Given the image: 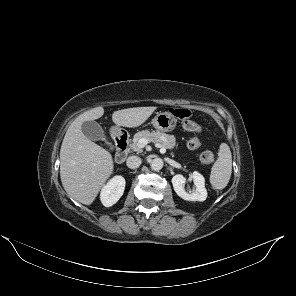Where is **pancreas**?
<instances>
[{
	"label": "pancreas",
	"mask_w": 296,
	"mask_h": 296,
	"mask_svg": "<svg viewBox=\"0 0 296 296\" xmlns=\"http://www.w3.org/2000/svg\"><path fill=\"white\" fill-rule=\"evenodd\" d=\"M142 138L147 139L149 142L159 143L161 147L165 149H173L176 146V138L173 135H168L155 131H141L134 135L132 142L130 143V148L141 153L142 149L138 147V141Z\"/></svg>",
	"instance_id": "obj_1"
}]
</instances>
